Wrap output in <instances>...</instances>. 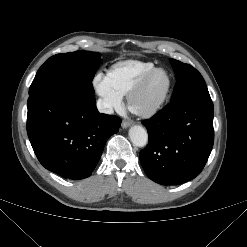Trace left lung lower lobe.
I'll list each match as a JSON object with an SVG mask.
<instances>
[{
    "label": "left lung lower lobe",
    "instance_id": "left-lung-lower-lobe-1",
    "mask_svg": "<svg viewBox=\"0 0 247 247\" xmlns=\"http://www.w3.org/2000/svg\"><path fill=\"white\" fill-rule=\"evenodd\" d=\"M214 108L209 94L170 102L142 123L149 134L139 158L146 175L177 185L200 174L214 143Z\"/></svg>",
    "mask_w": 247,
    "mask_h": 247
}]
</instances>
